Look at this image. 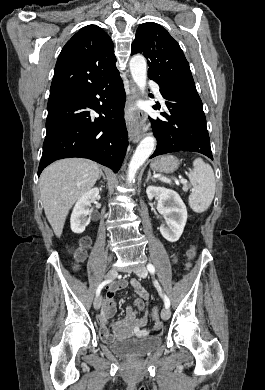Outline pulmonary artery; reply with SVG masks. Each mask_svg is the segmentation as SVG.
I'll list each match as a JSON object with an SVG mask.
<instances>
[{
  "label": "pulmonary artery",
  "mask_w": 265,
  "mask_h": 390,
  "mask_svg": "<svg viewBox=\"0 0 265 390\" xmlns=\"http://www.w3.org/2000/svg\"><path fill=\"white\" fill-rule=\"evenodd\" d=\"M149 85L154 90V92L157 94V96L159 98H161V94H160V91H159V85L156 82H154V81H150Z\"/></svg>",
  "instance_id": "e3ab8cb5"
}]
</instances>
